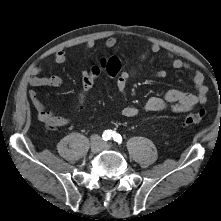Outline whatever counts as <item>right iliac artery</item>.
Segmentation results:
<instances>
[{
	"label": "right iliac artery",
	"instance_id": "right-iliac-artery-1",
	"mask_svg": "<svg viewBox=\"0 0 221 221\" xmlns=\"http://www.w3.org/2000/svg\"><path fill=\"white\" fill-rule=\"evenodd\" d=\"M102 137H103V140H105V141L109 140L111 138V131H109V130L105 131L103 133Z\"/></svg>",
	"mask_w": 221,
	"mask_h": 221
}]
</instances>
